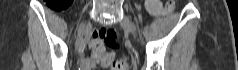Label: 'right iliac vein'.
<instances>
[{
    "label": "right iliac vein",
    "mask_w": 238,
    "mask_h": 70,
    "mask_svg": "<svg viewBox=\"0 0 238 70\" xmlns=\"http://www.w3.org/2000/svg\"><path fill=\"white\" fill-rule=\"evenodd\" d=\"M85 28H86V24L85 23L81 24V26L79 28V32H78V38L79 39H81L83 37Z\"/></svg>",
    "instance_id": "1"
}]
</instances>
